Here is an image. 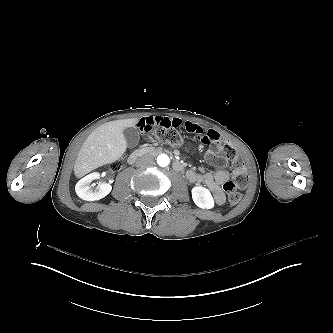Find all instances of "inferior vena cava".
I'll return each instance as SVG.
<instances>
[{
    "instance_id": "obj_1",
    "label": "inferior vena cava",
    "mask_w": 333,
    "mask_h": 333,
    "mask_svg": "<svg viewBox=\"0 0 333 333\" xmlns=\"http://www.w3.org/2000/svg\"><path fill=\"white\" fill-rule=\"evenodd\" d=\"M154 163V158L151 155H142L137 160L135 165L137 167H145Z\"/></svg>"
}]
</instances>
